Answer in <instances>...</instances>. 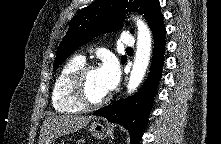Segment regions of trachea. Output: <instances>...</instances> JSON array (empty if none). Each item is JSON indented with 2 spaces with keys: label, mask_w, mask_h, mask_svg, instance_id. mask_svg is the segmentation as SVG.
I'll list each match as a JSON object with an SVG mask.
<instances>
[{
  "label": "trachea",
  "mask_w": 221,
  "mask_h": 144,
  "mask_svg": "<svg viewBox=\"0 0 221 144\" xmlns=\"http://www.w3.org/2000/svg\"><path fill=\"white\" fill-rule=\"evenodd\" d=\"M127 50H132V48H130V47H128V48H126Z\"/></svg>",
  "instance_id": "obj_1"
}]
</instances>
